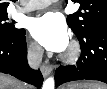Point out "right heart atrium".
Returning <instances> with one entry per match:
<instances>
[{"label":"right heart atrium","mask_w":107,"mask_h":89,"mask_svg":"<svg viewBox=\"0 0 107 89\" xmlns=\"http://www.w3.org/2000/svg\"><path fill=\"white\" fill-rule=\"evenodd\" d=\"M27 51L32 60H38L41 56V49L35 42L28 43Z\"/></svg>","instance_id":"d8ad5b80"}]
</instances>
